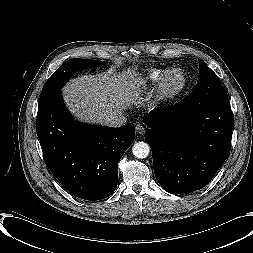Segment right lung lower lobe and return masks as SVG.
<instances>
[{
	"mask_svg": "<svg viewBox=\"0 0 253 253\" xmlns=\"http://www.w3.org/2000/svg\"><path fill=\"white\" fill-rule=\"evenodd\" d=\"M37 116L46 165L66 190L85 200L110 196L117 187L118 162L134 141V125L112 128L75 122L61 91Z\"/></svg>",
	"mask_w": 253,
	"mask_h": 253,
	"instance_id": "1",
	"label": "right lung lower lobe"
}]
</instances>
